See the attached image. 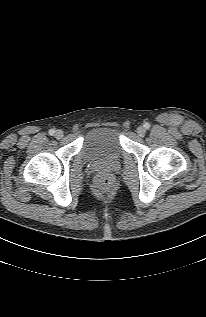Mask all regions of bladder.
Masks as SVG:
<instances>
[{
  "mask_svg": "<svg viewBox=\"0 0 206 317\" xmlns=\"http://www.w3.org/2000/svg\"><path fill=\"white\" fill-rule=\"evenodd\" d=\"M122 153L119 130L114 126L92 127L83 138L81 156L84 163H116Z\"/></svg>",
  "mask_w": 206,
  "mask_h": 317,
  "instance_id": "obj_1",
  "label": "bladder"
}]
</instances>
